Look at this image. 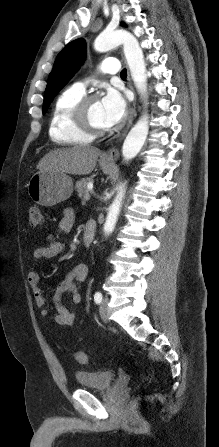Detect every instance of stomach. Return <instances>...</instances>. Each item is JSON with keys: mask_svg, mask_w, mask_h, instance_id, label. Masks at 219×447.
Masks as SVG:
<instances>
[{"mask_svg": "<svg viewBox=\"0 0 219 447\" xmlns=\"http://www.w3.org/2000/svg\"><path fill=\"white\" fill-rule=\"evenodd\" d=\"M102 171L110 174L114 170V164L104 157L99 160ZM73 192L71 177L62 172L52 170H40L32 175L28 183V194L33 202L51 207L66 199Z\"/></svg>", "mask_w": 219, "mask_h": 447, "instance_id": "obj_1", "label": "stomach"}]
</instances>
